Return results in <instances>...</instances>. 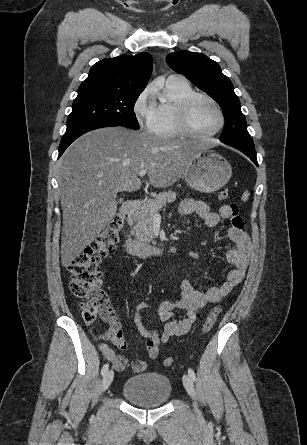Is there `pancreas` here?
I'll use <instances>...</instances> for the list:
<instances>
[{"label":"pancreas","instance_id":"obj_1","mask_svg":"<svg viewBox=\"0 0 307 445\" xmlns=\"http://www.w3.org/2000/svg\"><path fill=\"white\" fill-rule=\"evenodd\" d=\"M177 192L174 190H167V192H159L155 198H149L143 202L142 206H138L135 214L137 216L136 223L133 225L135 237L143 243L150 245L151 241L155 239L152 231V218L162 206H166L167 202H173L176 198Z\"/></svg>","mask_w":307,"mask_h":445}]
</instances>
